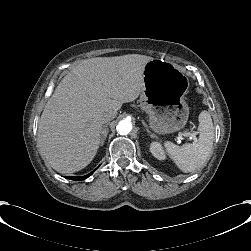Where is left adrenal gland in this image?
<instances>
[{
    "label": "left adrenal gland",
    "mask_w": 251,
    "mask_h": 251,
    "mask_svg": "<svg viewBox=\"0 0 251 251\" xmlns=\"http://www.w3.org/2000/svg\"><path fill=\"white\" fill-rule=\"evenodd\" d=\"M141 121H142L143 126H145L146 129H147L148 136H149V137H153V136L157 137V135H156L155 133H153V132H151V131L149 130V127H148L147 123L144 121V119H142Z\"/></svg>",
    "instance_id": "left-adrenal-gland-1"
}]
</instances>
